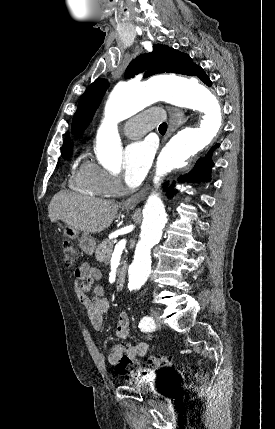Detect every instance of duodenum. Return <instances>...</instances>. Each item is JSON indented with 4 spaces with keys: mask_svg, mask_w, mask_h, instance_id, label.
<instances>
[{
    "mask_svg": "<svg viewBox=\"0 0 275 429\" xmlns=\"http://www.w3.org/2000/svg\"><path fill=\"white\" fill-rule=\"evenodd\" d=\"M124 284H125V273L122 270L119 272V274L117 276V279L115 282V287L118 291H121L124 288Z\"/></svg>",
    "mask_w": 275,
    "mask_h": 429,
    "instance_id": "duodenum-1",
    "label": "duodenum"
}]
</instances>
